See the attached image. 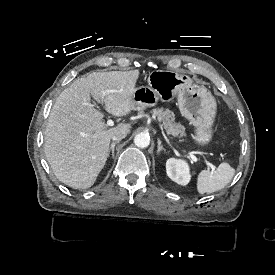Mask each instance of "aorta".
<instances>
[{"label":"aorta","instance_id":"762f6f07","mask_svg":"<svg viewBox=\"0 0 275 275\" xmlns=\"http://www.w3.org/2000/svg\"><path fill=\"white\" fill-rule=\"evenodd\" d=\"M134 143L139 148H147L150 145V137L147 134H138L134 137Z\"/></svg>","mask_w":275,"mask_h":275}]
</instances>
